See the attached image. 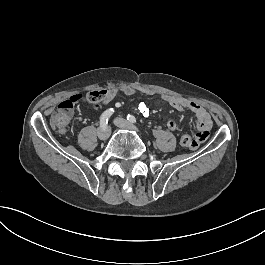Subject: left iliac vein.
I'll list each match as a JSON object with an SVG mask.
<instances>
[{
    "instance_id": "left-iliac-vein-1",
    "label": "left iliac vein",
    "mask_w": 265,
    "mask_h": 265,
    "mask_svg": "<svg viewBox=\"0 0 265 265\" xmlns=\"http://www.w3.org/2000/svg\"><path fill=\"white\" fill-rule=\"evenodd\" d=\"M114 123L120 128H125L128 130H133V131L138 132V129L125 119L117 117L114 119Z\"/></svg>"
}]
</instances>
